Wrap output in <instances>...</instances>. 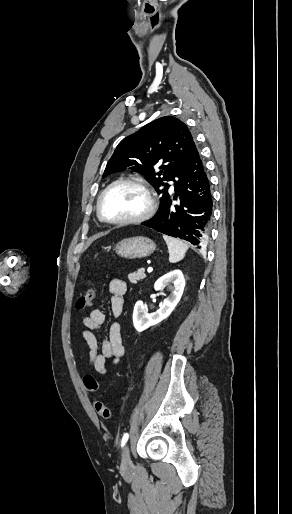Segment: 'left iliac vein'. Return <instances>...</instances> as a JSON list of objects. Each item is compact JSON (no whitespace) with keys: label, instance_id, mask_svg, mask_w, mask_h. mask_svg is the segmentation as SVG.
<instances>
[{"label":"left iliac vein","instance_id":"1","mask_svg":"<svg viewBox=\"0 0 292 514\" xmlns=\"http://www.w3.org/2000/svg\"><path fill=\"white\" fill-rule=\"evenodd\" d=\"M132 466V461L130 457V448L129 445L126 444L123 449V456H122V463H121V469L126 471L129 470Z\"/></svg>","mask_w":292,"mask_h":514}]
</instances>
